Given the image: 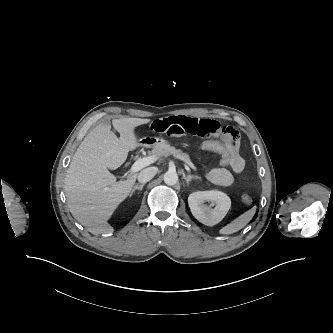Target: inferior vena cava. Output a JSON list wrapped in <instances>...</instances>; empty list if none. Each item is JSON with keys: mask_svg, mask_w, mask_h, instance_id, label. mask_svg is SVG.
Listing matches in <instances>:
<instances>
[{"mask_svg": "<svg viewBox=\"0 0 333 333\" xmlns=\"http://www.w3.org/2000/svg\"><path fill=\"white\" fill-rule=\"evenodd\" d=\"M156 173L157 169L155 167L146 168L138 174V181L144 184L150 181L156 175Z\"/></svg>", "mask_w": 333, "mask_h": 333, "instance_id": "inferior-vena-cava-1", "label": "inferior vena cava"}]
</instances>
